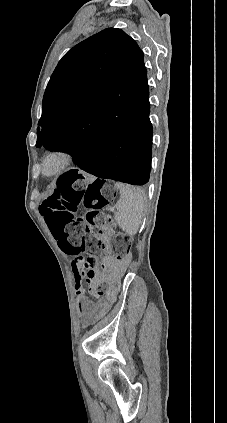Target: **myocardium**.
<instances>
[{"mask_svg": "<svg viewBox=\"0 0 227 423\" xmlns=\"http://www.w3.org/2000/svg\"><path fill=\"white\" fill-rule=\"evenodd\" d=\"M54 162L55 167L49 170L48 166ZM74 163V155L62 148L47 151L41 159L42 174L47 178L57 177L66 172Z\"/></svg>", "mask_w": 227, "mask_h": 423, "instance_id": "obj_1", "label": "myocardium"}]
</instances>
